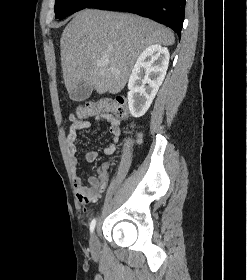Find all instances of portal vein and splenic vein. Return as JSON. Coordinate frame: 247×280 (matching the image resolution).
<instances>
[{
  "instance_id": "obj_1",
  "label": "portal vein and splenic vein",
  "mask_w": 247,
  "mask_h": 280,
  "mask_svg": "<svg viewBox=\"0 0 247 280\" xmlns=\"http://www.w3.org/2000/svg\"><path fill=\"white\" fill-rule=\"evenodd\" d=\"M106 62H107V61H99V62H98V66H103V65H105Z\"/></svg>"
}]
</instances>
